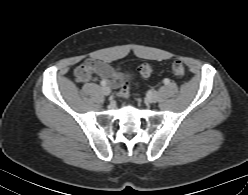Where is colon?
Returning <instances> with one entry per match:
<instances>
[{"mask_svg": "<svg viewBox=\"0 0 248 195\" xmlns=\"http://www.w3.org/2000/svg\"><path fill=\"white\" fill-rule=\"evenodd\" d=\"M172 73L177 78H183L186 75V68L182 61H174L171 66ZM140 75L144 78L152 76L154 67L150 63H143L138 69ZM118 95L121 98L127 99L130 96V89L126 82L121 83L118 89Z\"/></svg>", "mask_w": 248, "mask_h": 195, "instance_id": "obj_1", "label": "colon"}]
</instances>
